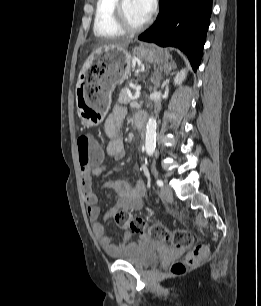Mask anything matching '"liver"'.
<instances>
[{
    "label": "liver",
    "mask_w": 261,
    "mask_h": 306,
    "mask_svg": "<svg viewBox=\"0 0 261 306\" xmlns=\"http://www.w3.org/2000/svg\"><path fill=\"white\" fill-rule=\"evenodd\" d=\"M129 43V41L106 43L101 48H125Z\"/></svg>",
    "instance_id": "liver-1"
}]
</instances>
